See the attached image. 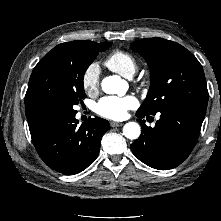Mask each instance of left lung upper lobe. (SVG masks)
Wrapping results in <instances>:
<instances>
[{"label": "left lung upper lobe", "mask_w": 221, "mask_h": 221, "mask_svg": "<svg viewBox=\"0 0 221 221\" xmlns=\"http://www.w3.org/2000/svg\"><path fill=\"white\" fill-rule=\"evenodd\" d=\"M131 49L146 60L151 74L150 89L138 111L155 115L178 103L207 106L203 68L186 48L170 40L148 38L134 41Z\"/></svg>", "instance_id": "1"}]
</instances>
